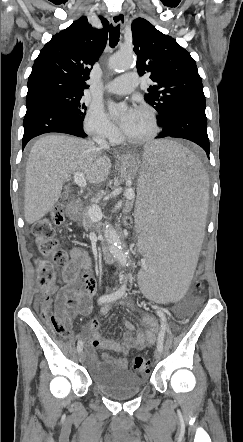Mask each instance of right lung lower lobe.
Here are the masks:
<instances>
[{"mask_svg":"<svg viewBox=\"0 0 243 442\" xmlns=\"http://www.w3.org/2000/svg\"><path fill=\"white\" fill-rule=\"evenodd\" d=\"M27 112L24 116L22 148L34 137L60 132L86 137L81 123L69 109L58 100L49 97L26 98Z\"/></svg>","mask_w":243,"mask_h":442,"instance_id":"1","label":"right lung lower lobe"}]
</instances>
